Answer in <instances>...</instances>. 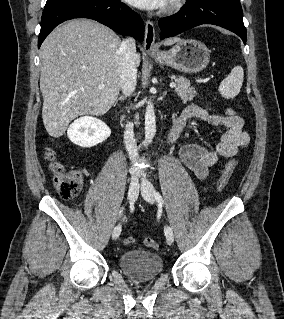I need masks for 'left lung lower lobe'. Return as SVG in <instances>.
<instances>
[{"mask_svg":"<svg viewBox=\"0 0 284 319\" xmlns=\"http://www.w3.org/2000/svg\"><path fill=\"white\" fill-rule=\"evenodd\" d=\"M202 24L226 28L246 43L247 33L239 0H188L177 14L159 20L160 37H173Z\"/></svg>","mask_w":284,"mask_h":319,"instance_id":"0a47b994","label":"left lung lower lobe"}]
</instances>
